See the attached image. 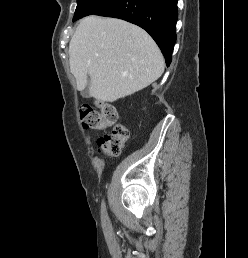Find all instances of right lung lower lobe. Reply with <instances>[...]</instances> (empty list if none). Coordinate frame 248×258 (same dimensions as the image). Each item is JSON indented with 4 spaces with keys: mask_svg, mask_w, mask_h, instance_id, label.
Here are the masks:
<instances>
[{
    "mask_svg": "<svg viewBox=\"0 0 248 258\" xmlns=\"http://www.w3.org/2000/svg\"><path fill=\"white\" fill-rule=\"evenodd\" d=\"M95 14L123 19L146 30L170 65L176 41L177 0H114Z\"/></svg>",
    "mask_w": 248,
    "mask_h": 258,
    "instance_id": "98d812e1",
    "label": "right lung lower lobe"
}]
</instances>
